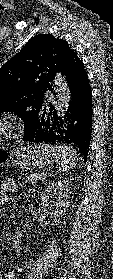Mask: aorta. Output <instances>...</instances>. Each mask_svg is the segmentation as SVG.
I'll use <instances>...</instances> for the list:
<instances>
[{
  "label": "aorta",
  "instance_id": "aorta-1",
  "mask_svg": "<svg viewBox=\"0 0 113 279\" xmlns=\"http://www.w3.org/2000/svg\"><path fill=\"white\" fill-rule=\"evenodd\" d=\"M55 83L57 86L55 108L59 114L64 115L71 101V93L65 78L60 73H57Z\"/></svg>",
  "mask_w": 113,
  "mask_h": 279
}]
</instances>
